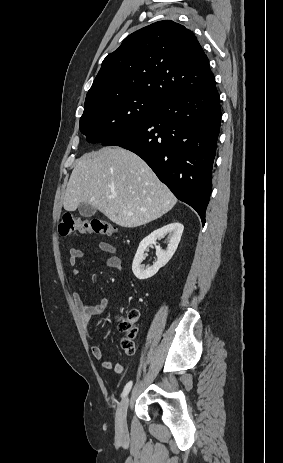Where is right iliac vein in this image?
<instances>
[{
	"instance_id": "63e3f726",
	"label": "right iliac vein",
	"mask_w": 283,
	"mask_h": 463,
	"mask_svg": "<svg viewBox=\"0 0 283 463\" xmlns=\"http://www.w3.org/2000/svg\"><path fill=\"white\" fill-rule=\"evenodd\" d=\"M129 405V397L126 396L119 404L117 412H116V434L119 438L123 439L126 438L128 435V427H127V409Z\"/></svg>"
}]
</instances>
